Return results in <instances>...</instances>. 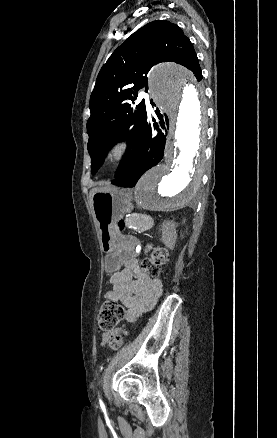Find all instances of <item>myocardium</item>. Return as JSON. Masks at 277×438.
<instances>
[{
  "mask_svg": "<svg viewBox=\"0 0 277 438\" xmlns=\"http://www.w3.org/2000/svg\"><path fill=\"white\" fill-rule=\"evenodd\" d=\"M130 141L127 138H121L114 141L106 154V159L111 164L122 162L130 150Z\"/></svg>",
  "mask_w": 277,
  "mask_h": 438,
  "instance_id": "myocardium-1",
  "label": "myocardium"
}]
</instances>
